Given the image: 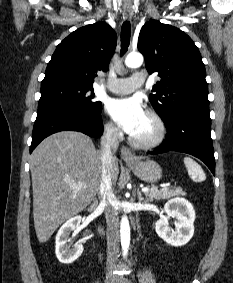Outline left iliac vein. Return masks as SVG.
I'll list each match as a JSON object with an SVG mask.
<instances>
[{
	"label": "left iliac vein",
	"mask_w": 233,
	"mask_h": 283,
	"mask_svg": "<svg viewBox=\"0 0 233 283\" xmlns=\"http://www.w3.org/2000/svg\"><path fill=\"white\" fill-rule=\"evenodd\" d=\"M117 283H129V282L127 280H125L124 278H119Z\"/></svg>",
	"instance_id": "obj_1"
}]
</instances>
